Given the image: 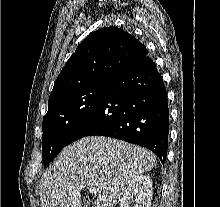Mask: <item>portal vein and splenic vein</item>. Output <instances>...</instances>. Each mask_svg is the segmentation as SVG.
Masks as SVG:
<instances>
[{
  "mask_svg": "<svg viewBox=\"0 0 220 207\" xmlns=\"http://www.w3.org/2000/svg\"><path fill=\"white\" fill-rule=\"evenodd\" d=\"M88 190H89V193H91V194H93V193L95 194L98 192V189H96L95 187H89Z\"/></svg>",
  "mask_w": 220,
  "mask_h": 207,
  "instance_id": "18ae733b",
  "label": "portal vein and splenic vein"
}]
</instances>
